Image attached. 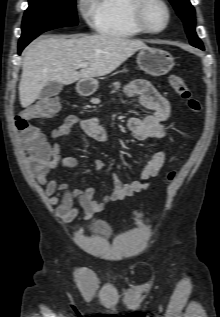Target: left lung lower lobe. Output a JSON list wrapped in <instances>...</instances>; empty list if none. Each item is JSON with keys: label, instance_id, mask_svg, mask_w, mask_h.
<instances>
[{"label": "left lung lower lobe", "instance_id": "0a47b994", "mask_svg": "<svg viewBox=\"0 0 220 317\" xmlns=\"http://www.w3.org/2000/svg\"><path fill=\"white\" fill-rule=\"evenodd\" d=\"M194 47H195V46H194ZM197 48H199V47H197ZM200 49L204 50V48H203V47H200Z\"/></svg>", "mask_w": 220, "mask_h": 317}]
</instances>
